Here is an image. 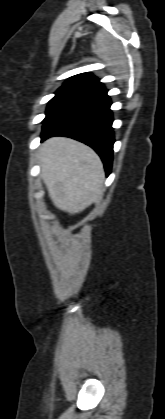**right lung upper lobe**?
Here are the masks:
<instances>
[{
    "mask_svg": "<svg viewBox=\"0 0 165 419\" xmlns=\"http://www.w3.org/2000/svg\"><path fill=\"white\" fill-rule=\"evenodd\" d=\"M105 89L95 76L90 73H82L68 79L60 90L75 92L84 96L95 94Z\"/></svg>",
    "mask_w": 165,
    "mask_h": 419,
    "instance_id": "1",
    "label": "right lung upper lobe"
}]
</instances>
